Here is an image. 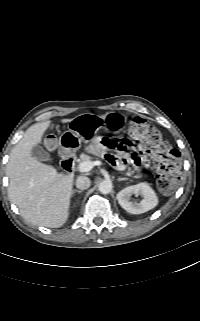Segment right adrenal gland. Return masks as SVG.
I'll return each mask as SVG.
<instances>
[{"label":"right adrenal gland","mask_w":200,"mask_h":321,"mask_svg":"<svg viewBox=\"0 0 200 321\" xmlns=\"http://www.w3.org/2000/svg\"><path fill=\"white\" fill-rule=\"evenodd\" d=\"M82 192H83V190H77V189H75V190H73L72 194L75 195V193H82Z\"/></svg>","instance_id":"2a0ac1e0"}]
</instances>
